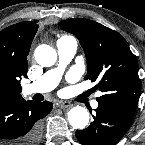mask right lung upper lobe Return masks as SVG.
<instances>
[{"label":"right lung upper lobe","mask_w":145,"mask_h":145,"mask_svg":"<svg viewBox=\"0 0 145 145\" xmlns=\"http://www.w3.org/2000/svg\"><path fill=\"white\" fill-rule=\"evenodd\" d=\"M37 22H20L0 32V72L10 85L6 99L21 97L20 79L27 74V55L39 27Z\"/></svg>","instance_id":"cb5924a9"}]
</instances>
